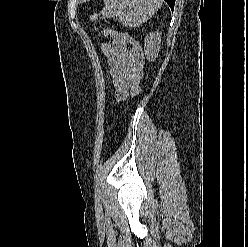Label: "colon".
<instances>
[{"instance_id":"colon-1","label":"colon","mask_w":248,"mask_h":247,"mask_svg":"<svg viewBox=\"0 0 248 247\" xmlns=\"http://www.w3.org/2000/svg\"><path fill=\"white\" fill-rule=\"evenodd\" d=\"M101 32L105 36H108V37L112 38L113 40L122 41V42H125V43L131 45L136 52V64H137V66L140 69H142L144 67L145 58H144L143 51H142L140 45L132 37H130L129 35H126V34L118 33L116 31H113V30L108 29V28H103L101 30Z\"/></svg>"}]
</instances>
